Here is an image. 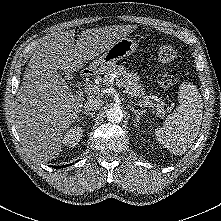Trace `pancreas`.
Segmentation results:
<instances>
[{"label": "pancreas", "instance_id": "cf45deb5", "mask_svg": "<svg viewBox=\"0 0 221 221\" xmlns=\"http://www.w3.org/2000/svg\"><path fill=\"white\" fill-rule=\"evenodd\" d=\"M113 73L118 74L120 77L118 81L125 88V92L129 96L136 98L141 106L151 108L153 112H156L158 117H164L165 110L163 103H155L153 100H150V97L145 94L142 85L138 83L139 77L136 74H133L123 66H115L105 73L104 84L110 81Z\"/></svg>", "mask_w": 221, "mask_h": 221}]
</instances>
